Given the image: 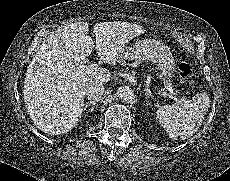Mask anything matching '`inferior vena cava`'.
<instances>
[{
    "label": "inferior vena cava",
    "mask_w": 230,
    "mask_h": 181,
    "mask_svg": "<svg viewBox=\"0 0 230 181\" xmlns=\"http://www.w3.org/2000/svg\"><path fill=\"white\" fill-rule=\"evenodd\" d=\"M104 94L103 85H92L85 90V96L88 99L99 101Z\"/></svg>",
    "instance_id": "obj_1"
}]
</instances>
